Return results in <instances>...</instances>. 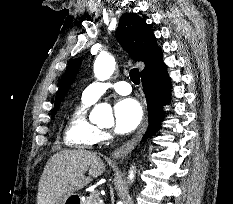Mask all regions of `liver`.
I'll return each instance as SVG.
<instances>
[{"label":"liver","mask_w":233,"mask_h":204,"mask_svg":"<svg viewBox=\"0 0 233 204\" xmlns=\"http://www.w3.org/2000/svg\"><path fill=\"white\" fill-rule=\"evenodd\" d=\"M105 171V164L88 150H62L46 163L39 180L37 204H62ZM88 172L89 177L85 176Z\"/></svg>","instance_id":"1"}]
</instances>
